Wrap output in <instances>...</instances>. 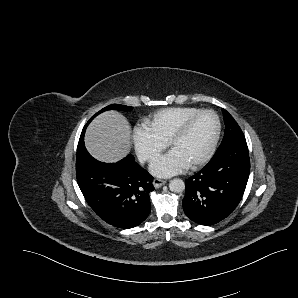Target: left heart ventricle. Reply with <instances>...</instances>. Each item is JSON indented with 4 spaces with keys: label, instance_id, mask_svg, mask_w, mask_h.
Listing matches in <instances>:
<instances>
[{
    "label": "left heart ventricle",
    "instance_id": "left-heart-ventricle-1",
    "mask_svg": "<svg viewBox=\"0 0 298 298\" xmlns=\"http://www.w3.org/2000/svg\"><path fill=\"white\" fill-rule=\"evenodd\" d=\"M214 131L215 125L212 117L203 115L185 129L171 145L170 151L189 166L206 151Z\"/></svg>",
    "mask_w": 298,
    "mask_h": 298
}]
</instances>
